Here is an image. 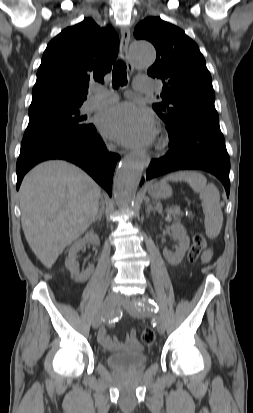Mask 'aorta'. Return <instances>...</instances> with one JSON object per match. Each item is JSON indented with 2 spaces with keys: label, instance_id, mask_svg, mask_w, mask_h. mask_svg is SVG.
<instances>
[{
  "label": "aorta",
  "instance_id": "obj_1",
  "mask_svg": "<svg viewBox=\"0 0 253 413\" xmlns=\"http://www.w3.org/2000/svg\"><path fill=\"white\" fill-rule=\"evenodd\" d=\"M129 54L137 68L146 69L153 63L156 52L148 41L135 40L130 45ZM144 165V159L138 154H129L122 160L116 171L113 186L118 206L124 208L132 206Z\"/></svg>",
  "mask_w": 253,
  "mask_h": 413
}]
</instances>
